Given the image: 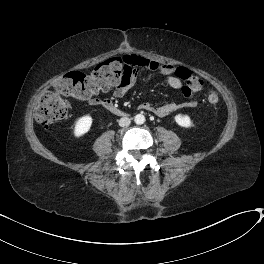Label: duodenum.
Wrapping results in <instances>:
<instances>
[{
  "label": "duodenum",
  "instance_id": "duodenum-1",
  "mask_svg": "<svg viewBox=\"0 0 264 264\" xmlns=\"http://www.w3.org/2000/svg\"><path fill=\"white\" fill-rule=\"evenodd\" d=\"M102 105L104 106V108H105L106 110H108L109 112H111V113H113V114L121 115V116H123V115L126 114V112H125L122 108L116 106V105L113 104L112 102H109V101H103V102H102Z\"/></svg>",
  "mask_w": 264,
  "mask_h": 264
}]
</instances>
